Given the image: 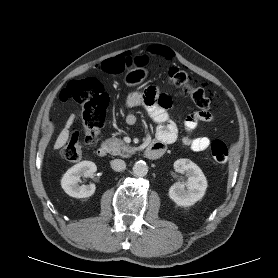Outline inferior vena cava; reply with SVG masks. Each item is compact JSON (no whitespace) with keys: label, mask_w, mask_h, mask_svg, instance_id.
I'll list each match as a JSON object with an SVG mask.
<instances>
[{"label":"inferior vena cava","mask_w":278,"mask_h":278,"mask_svg":"<svg viewBox=\"0 0 278 278\" xmlns=\"http://www.w3.org/2000/svg\"><path fill=\"white\" fill-rule=\"evenodd\" d=\"M111 168L114 170V171H117V172H120L122 170H124L126 168V164L123 160L121 159H114L112 162H111Z\"/></svg>","instance_id":"1"}]
</instances>
